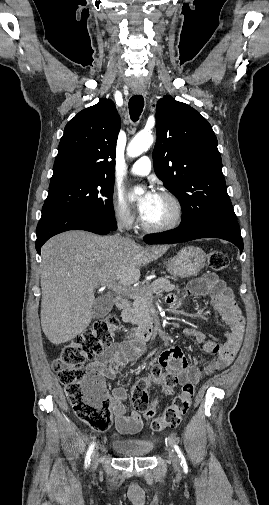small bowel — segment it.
<instances>
[{"label":"small bowel","instance_id":"obj_1","mask_svg":"<svg viewBox=\"0 0 269 505\" xmlns=\"http://www.w3.org/2000/svg\"><path fill=\"white\" fill-rule=\"evenodd\" d=\"M186 294L192 296H210L213 308L219 313L228 326L223 343L206 339V334L200 330L188 329L187 334L202 344L203 351L212 357L203 366L201 360L195 358L190 364L182 349L178 346L164 350L158 357L152 370L174 377L177 384L198 383L204 376L211 375L229 366L234 360L244 333V318L235 301L232 291L216 273L208 272L202 277L191 281ZM177 300L176 295L168 297L169 303ZM142 352V345L129 341L115 343L107 348L95 360L87 365L90 373L101 378L114 379L119 367L127 361L136 359ZM127 391L124 387H117L109 395L114 413L115 427L119 435H136L143 428L142 417L137 411L126 414L124 401Z\"/></svg>","mask_w":269,"mask_h":505}]
</instances>
